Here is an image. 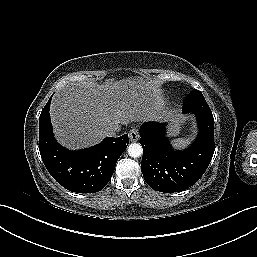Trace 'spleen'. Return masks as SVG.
I'll return each mask as SVG.
<instances>
[{"mask_svg": "<svg viewBox=\"0 0 257 257\" xmlns=\"http://www.w3.org/2000/svg\"><path fill=\"white\" fill-rule=\"evenodd\" d=\"M189 141V138H178L174 141L173 145L177 148H185Z\"/></svg>", "mask_w": 257, "mask_h": 257, "instance_id": "3e777b00", "label": "spleen"}]
</instances>
